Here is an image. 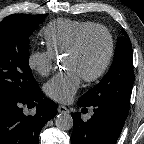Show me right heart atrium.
Instances as JSON below:
<instances>
[{
	"instance_id": "obj_1",
	"label": "right heart atrium",
	"mask_w": 144,
	"mask_h": 144,
	"mask_svg": "<svg viewBox=\"0 0 144 144\" xmlns=\"http://www.w3.org/2000/svg\"><path fill=\"white\" fill-rule=\"evenodd\" d=\"M55 58L48 48L33 49L28 54L27 63L30 69L41 76H46L52 71Z\"/></svg>"
}]
</instances>
